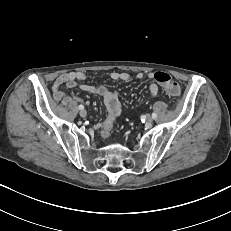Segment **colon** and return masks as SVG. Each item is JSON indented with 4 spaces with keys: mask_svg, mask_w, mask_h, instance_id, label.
I'll return each mask as SVG.
<instances>
[{
    "mask_svg": "<svg viewBox=\"0 0 231 231\" xmlns=\"http://www.w3.org/2000/svg\"><path fill=\"white\" fill-rule=\"evenodd\" d=\"M154 80L161 84L169 95L178 96L180 94L179 85L176 82L172 81V78L168 73L162 71L155 72ZM111 127V125H107L103 128V132L105 135L109 133Z\"/></svg>",
    "mask_w": 231,
    "mask_h": 231,
    "instance_id": "obj_1",
    "label": "colon"
}]
</instances>
